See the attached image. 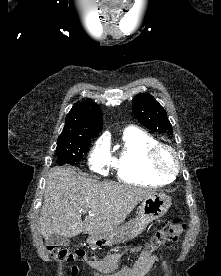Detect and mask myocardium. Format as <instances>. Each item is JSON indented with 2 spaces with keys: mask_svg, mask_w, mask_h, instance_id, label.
Segmentation results:
<instances>
[{
  "mask_svg": "<svg viewBox=\"0 0 221 276\" xmlns=\"http://www.w3.org/2000/svg\"><path fill=\"white\" fill-rule=\"evenodd\" d=\"M165 153L171 156V165L164 162ZM147 162L151 171L160 176L173 177L180 169V160L176 150L171 145L162 142H157L148 150Z\"/></svg>",
  "mask_w": 221,
  "mask_h": 276,
  "instance_id": "f54148a6",
  "label": "myocardium"
}]
</instances>
